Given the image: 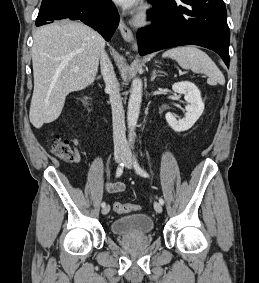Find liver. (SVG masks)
<instances>
[{
    "label": "liver",
    "instance_id": "1",
    "mask_svg": "<svg viewBox=\"0 0 259 283\" xmlns=\"http://www.w3.org/2000/svg\"><path fill=\"white\" fill-rule=\"evenodd\" d=\"M33 40L34 90L29 118L34 127L41 128L60 116L70 92L94 82L105 40L76 21L43 26Z\"/></svg>",
    "mask_w": 259,
    "mask_h": 283
}]
</instances>
